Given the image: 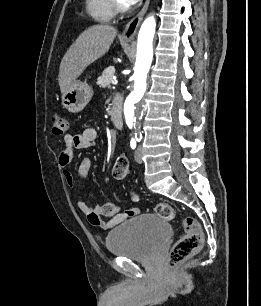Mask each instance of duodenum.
Masks as SVG:
<instances>
[{"label":"duodenum","instance_id":"410a0bca","mask_svg":"<svg viewBox=\"0 0 261 306\" xmlns=\"http://www.w3.org/2000/svg\"><path fill=\"white\" fill-rule=\"evenodd\" d=\"M110 118L113 124L117 128H121L123 126V114H122V107L121 103L118 99L113 101L112 107L110 109Z\"/></svg>","mask_w":261,"mask_h":306}]
</instances>
